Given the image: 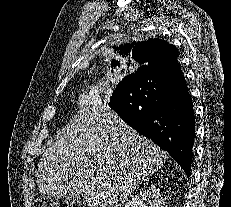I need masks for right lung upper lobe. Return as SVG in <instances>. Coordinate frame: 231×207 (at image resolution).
Returning <instances> with one entry per match:
<instances>
[{"label": "right lung upper lobe", "instance_id": "right-lung-upper-lobe-1", "mask_svg": "<svg viewBox=\"0 0 231 207\" xmlns=\"http://www.w3.org/2000/svg\"><path fill=\"white\" fill-rule=\"evenodd\" d=\"M113 49L114 53L119 55L117 62L121 64L132 58L142 65L140 67L157 64L163 68L171 69L179 65L177 48L161 39L126 43L117 47L114 46Z\"/></svg>", "mask_w": 231, "mask_h": 207}]
</instances>
